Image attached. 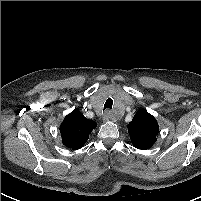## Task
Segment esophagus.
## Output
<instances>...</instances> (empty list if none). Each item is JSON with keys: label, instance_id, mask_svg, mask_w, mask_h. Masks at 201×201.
<instances>
[{"label": "esophagus", "instance_id": "obj_1", "mask_svg": "<svg viewBox=\"0 0 201 201\" xmlns=\"http://www.w3.org/2000/svg\"><path fill=\"white\" fill-rule=\"evenodd\" d=\"M103 121L104 122H107V121H109L111 118H112V116H111V114H110V112H105L104 114H103Z\"/></svg>", "mask_w": 201, "mask_h": 201}]
</instances>
